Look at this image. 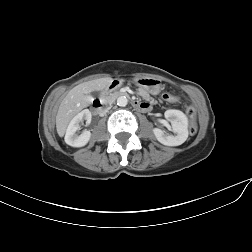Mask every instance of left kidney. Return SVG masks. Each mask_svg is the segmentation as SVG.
Listing matches in <instances>:
<instances>
[{
  "label": "left kidney",
  "mask_w": 252,
  "mask_h": 252,
  "mask_svg": "<svg viewBox=\"0 0 252 252\" xmlns=\"http://www.w3.org/2000/svg\"><path fill=\"white\" fill-rule=\"evenodd\" d=\"M164 116L171 122L172 131L176 135H170L160 128H154L153 133L156 139L167 146H178L188 138V119L180 110L170 109L165 111Z\"/></svg>",
  "instance_id": "5707ae66"
}]
</instances>
